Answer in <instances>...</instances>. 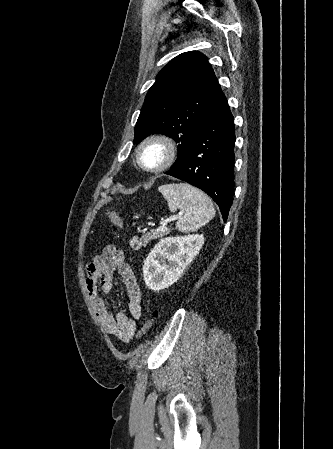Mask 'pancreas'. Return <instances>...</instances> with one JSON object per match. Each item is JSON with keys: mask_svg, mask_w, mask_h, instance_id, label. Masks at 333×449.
Instances as JSON below:
<instances>
[{"mask_svg": "<svg viewBox=\"0 0 333 449\" xmlns=\"http://www.w3.org/2000/svg\"><path fill=\"white\" fill-rule=\"evenodd\" d=\"M171 231V228H167L165 226H162L156 230H151L150 232L144 234L143 236L134 237L130 241V246L134 250H139L141 247H146L152 240L157 238H162L163 236L169 234Z\"/></svg>", "mask_w": 333, "mask_h": 449, "instance_id": "cf45deb5", "label": "pancreas"}]
</instances>
